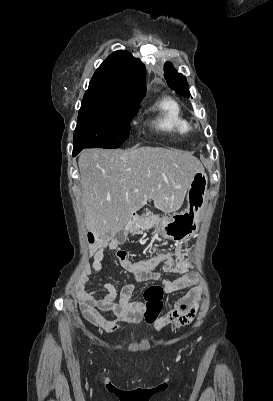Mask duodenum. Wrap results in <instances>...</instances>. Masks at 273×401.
I'll use <instances>...</instances> for the list:
<instances>
[{
  "label": "duodenum",
  "instance_id": "1",
  "mask_svg": "<svg viewBox=\"0 0 273 401\" xmlns=\"http://www.w3.org/2000/svg\"><path fill=\"white\" fill-rule=\"evenodd\" d=\"M139 220V216L137 214H132L126 228L130 230Z\"/></svg>",
  "mask_w": 273,
  "mask_h": 401
}]
</instances>
